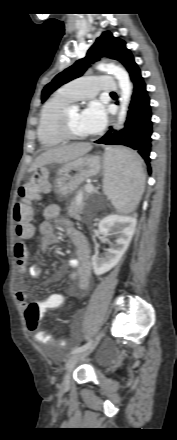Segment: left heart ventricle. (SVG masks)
<instances>
[{"mask_svg":"<svg viewBox=\"0 0 177 440\" xmlns=\"http://www.w3.org/2000/svg\"><path fill=\"white\" fill-rule=\"evenodd\" d=\"M69 121L71 130L78 135H87L84 129L81 126L80 122V112L76 108H70L69 112Z\"/></svg>","mask_w":177,"mask_h":440,"instance_id":"b2bd125f","label":"left heart ventricle"}]
</instances>
